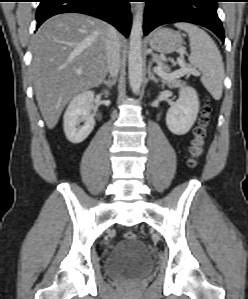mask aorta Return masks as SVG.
<instances>
[{
    "mask_svg": "<svg viewBox=\"0 0 248 299\" xmlns=\"http://www.w3.org/2000/svg\"><path fill=\"white\" fill-rule=\"evenodd\" d=\"M143 11L144 4L138 3L136 6V14L133 19L129 53H128V75L131 89L134 93L140 90L143 75L142 61V35H143Z\"/></svg>",
    "mask_w": 248,
    "mask_h": 299,
    "instance_id": "1",
    "label": "aorta"
}]
</instances>
